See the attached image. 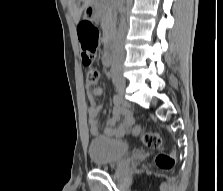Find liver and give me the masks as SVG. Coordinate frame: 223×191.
<instances>
[{
  "instance_id": "6515ba94",
  "label": "liver",
  "mask_w": 223,
  "mask_h": 191,
  "mask_svg": "<svg viewBox=\"0 0 223 191\" xmlns=\"http://www.w3.org/2000/svg\"><path fill=\"white\" fill-rule=\"evenodd\" d=\"M80 1L83 2L81 7L78 5ZM93 3L94 0H69V11L75 24L79 23L83 10L87 9Z\"/></svg>"
}]
</instances>
